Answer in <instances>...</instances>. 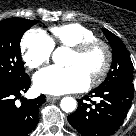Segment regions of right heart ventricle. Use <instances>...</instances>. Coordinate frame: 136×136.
<instances>
[{"label": "right heart ventricle", "mask_w": 136, "mask_h": 136, "mask_svg": "<svg viewBox=\"0 0 136 136\" xmlns=\"http://www.w3.org/2000/svg\"><path fill=\"white\" fill-rule=\"evenodd\" d=\"M49 40L52 45L73 47L83 41L96 38V34L90 28L80 23H67L54 26L50 29Z\"/></svg>", "instance_id": "right-heart-ventricle-1"}]
</instances>
